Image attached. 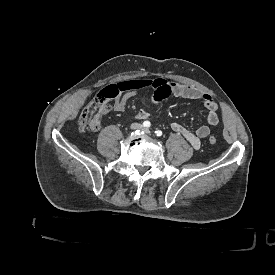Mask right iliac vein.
I'll return each instance as SVG.
<instances>
[{
    "label": "right iliac vein",
    "mask_w": 275,
    "mask_h": 275,
    "mask_svg": "<svg viewBox=\"0 0 275 275\" xmlns=\"http://www.w3.org/2000/svg\"><path fill=\"white\" fill-rule=\"evenodd\" d=\"M141 128L142 126L140 124L135 123L132 125V129H141Z\"/></svg>",
    "instance_id": "1"
}]
</instances>
